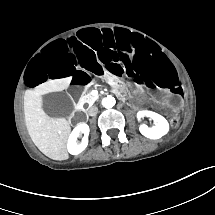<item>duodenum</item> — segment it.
Listing matches in <instances>:
<instances>
[{"instance_id":"duodenum-1","label":"duodenum","mask_w":215,"mask_h":215,"mask_svg":"<svg viewBox=\"0 0 215 215\" xmlns=\"http://www.w3.org/2000/svg\"><path fill=\"white\" fill-rule=\"evenodd\" d=\"M117 91H120L117 89ZM120 97L124 98L125 97V93H121V94H118Z\"/></svg>"}]
</instances>
